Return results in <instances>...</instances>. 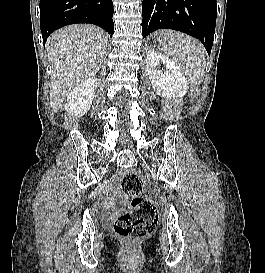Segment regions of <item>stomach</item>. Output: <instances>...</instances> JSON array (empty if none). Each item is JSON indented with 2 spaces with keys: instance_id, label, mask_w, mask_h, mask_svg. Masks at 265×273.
Instances as JSON below:
<instances>
[{
  "instance_id": "0dacf381",
  "label": "stomach",
  "mask_w": 265,
  "mask_h": 273,
  "mask_svg": "<svg viewBox=\"0 0 265 273\" xmlns=\"http://www.w3.org/2000/svg\"><path fill=\"white\" fill-rule=\"evenodd\" d=\"M145 45H152V49H166V45H170V35H153V40H145Z\"/></svg>"
}]
</instances>
